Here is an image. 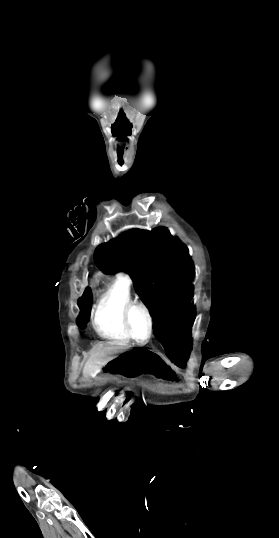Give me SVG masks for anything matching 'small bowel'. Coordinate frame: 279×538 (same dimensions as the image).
<instances>
[{
  "instance_id": "small-bowel-1",
  "label": "small bowel",
  "mask_w": 279,
  "mask_h": 538,
  "mask_svg": "<svg viewBox=\"0 0 279 538\" xmlns=\"http://www.w3.org/2000/svg\"><path fill=\"white\" fill-rule=\"evenodd\" d=\"M156 378L169 383H174L176 381V376L171 371H161L156 373Z\"/></svg>"
}]
</instances>
